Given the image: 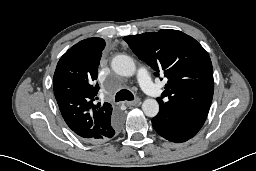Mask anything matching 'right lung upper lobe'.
Here are the masks:
<instances>
[{"label": "right lung upper lobe", "mask_w": 256, "mask_h": 171, "mask_svg": "<svg viewBox=\"0 0 256 171\" xmlns=\"http://www.w3.org/2000/svg\"><path fill=\"white\" fill-rule=\"evenodd\" d=\"M105 41L87 38L72 46L59 60L53 89L69 128L89 142L110 138V125L117 115L109 103H97V71Z\"/></svg>", "instance_id": "right-lung-upper-lobe-1"}]
</instances>
